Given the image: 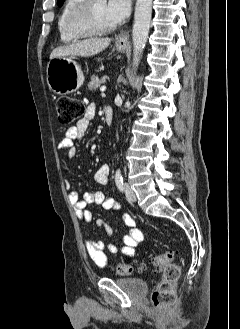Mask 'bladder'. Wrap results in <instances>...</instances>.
<instances>
[{
    "mask_svg": "<svg viewBox=\"0 0 240 329\" xmlns=\"http://www.w3.org/2000/svg\"><path fill=\"white\" fill-rule=\"evenodd\" d=\"M114 281L135 295H143L148 289L147 283L138 277H118Z\"/></svg>",
    "mask_w": 240,
    "mask_h": 329,
    "instance_id": "bladder-1",
    "label": "bladder"
}]
</instances>
